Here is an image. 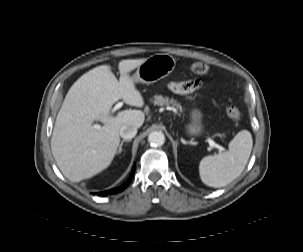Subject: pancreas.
Here are the masks:
<instances>
[{
  "label": "pancreas",
  "mask_w": 303,
  "mask_h": 252,
  "mask_svg": "<svg viewBox=\"0 0 303 252\" xmlns=\"http://www.w3.org/2000/svg\"><path fill=\"white\" fill-rule=\"evenodd\" d=\"M154 105L164 106L171 105L177 112H183L182 106L177 100L169 97H163L162 95H155L151 99Z\"/></svg>",
  "instance_id": "obj_1"
}]
</instances>
